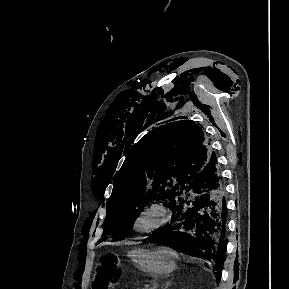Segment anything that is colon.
Returning <instances> with one entry per match:
<instances>
[{
	"label": "colon",
	"mask_w": 289,
	"mask_h": 289,
	"mask_svg": "<svg viewBox=\"0 0 289 289\" xmlns=\"http://www.w3.org/2000/svg\"><path fill=\"white\" fill-rule=\"evenodd\" d=\"M120 271L110 254L101 257L92 283V289H112L119 281Z\"/></svg>",
	"instance_id": "colon-1"
}]
</instances>
